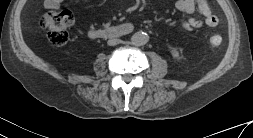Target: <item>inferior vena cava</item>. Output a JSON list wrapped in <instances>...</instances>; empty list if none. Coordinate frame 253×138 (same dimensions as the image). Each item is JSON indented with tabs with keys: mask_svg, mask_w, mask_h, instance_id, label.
<instances>
[{
	"mask_svg": "<svg viewBox=\"0 0 253 138\" xmlns=\"http://www.w3.org/2000/svg\"><path fill=\"white\" fill-rule=\"evenodd\" d=\"M119 43H120V41L118 39H111V40H108V42H107V44L109 46H115V45H117Z\"/></svg>",
	"mask_w": 253,
	"mask_h": 138,
	"instance_id": "1",
	"label": "inferior vena cava"
}]
</instances>
